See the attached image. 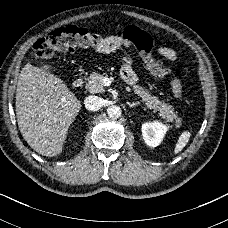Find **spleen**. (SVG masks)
Returning <instances> with one entry per match:
<instances>
[{"instance_id": "spleen-1", "label": "spleen", "mask_w": 228, "mask_h": 228, "mask_svg": "<svg viewBox=\"0 0 228 228\" xmlns=\"http://www.w3.org/2000/svg\"><path fill=\"white\" fill-rule=\"evenodd\" d=\"M191 135L192 134L189 130L183 131L180 134V136L177 140V143L175 144L174 149H173L174 155L180 153L185 148V146L189 143Z\"/></svg>"}]
</instances>
